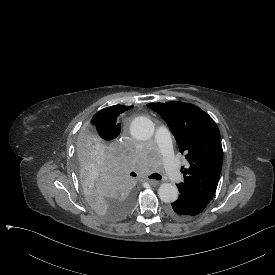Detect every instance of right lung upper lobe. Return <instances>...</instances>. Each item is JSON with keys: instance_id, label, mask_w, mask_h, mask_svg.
I'll return each instance as SVG.
<instances>
[{"instance_id": "right-lung-upper-lobe-1", "label": "right lung upper lobe", "mask_w": 275, "mask_h": 275, "mask_svg": "<svg viewBox=\"0 0 275 275\" xmlns=\"http://www.w3.org/2000/svg\"><path fill=\"white\" fill-rule=\"evenodd\" d=\"M133 106L114 105L97 112L92 123L96 124L101 131L100 137L106 141L115 139L121 131V125L117 122V117Z\"/></svg>"}]
</instances>
